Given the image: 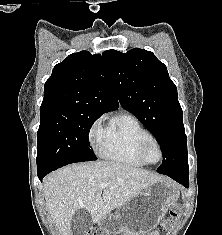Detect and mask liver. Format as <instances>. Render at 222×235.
Masks as SVG:
<instances>
[{
  "label": "liver",
  "instance_id": "6515ba94",
  "mask_svg": "<svg viewBox=\"0 0 222 235\" xmlns=\"http://www.w3.org/2000/svg\"><path fill=\"white\" fill-rule=\"evenodd\" d=\"M164 178L127 164L98 161L63 167L44 180L46 207L61 235H72L71 220L85 209L92 223ZM101 183L108 187L100 188Z\"/></svg>",
  "mask_w": 222,
  "mask_h": 235
}]
</instances>
